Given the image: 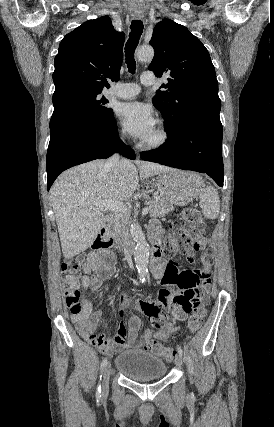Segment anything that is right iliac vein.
I'll return each mask as SVG.
<instances>
[{"instance_id":"63e3f726","label":"right iliac vein","mask_w":274,"mask_h":427,"mask_svg":"<svg viewBox=\"0 0 274 427\" xmlns=\"http://www.w3.org/2000/svg\"><path fill=\"white\" fill-rule=\"evenodd\" d=\"M110 376H111V365H110V363H107L105 370H104L103 381H102V391L103 392H107V390H108Z\"/></svg>"}]
</instances>
